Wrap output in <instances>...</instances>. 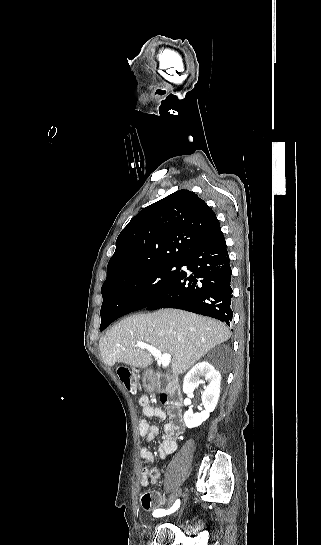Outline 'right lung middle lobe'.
Here are the masks:
<instances>
[{
  "instance_id": "1",
  "label": "right lung middle lobe",
  "mask_w": 321,
  "mask_h": 545,
  "mask_svg": "<svg viewBox=\"0 0 321 545\" xmlns=\"http://www.w3.org/2000/svg\"><path fill=\"white\" fill-rule=\"evenodd\" d=\"M179 264H163L146 270L132 273L124 277L119 284L103 288L104 305L112 297H125L137 301L139 304L147 305L154 300L171 281L178 275ZM177 267L176 270H172ZM105 325L101 318L100 330Z\"/></svg>"
}]
</instances>
